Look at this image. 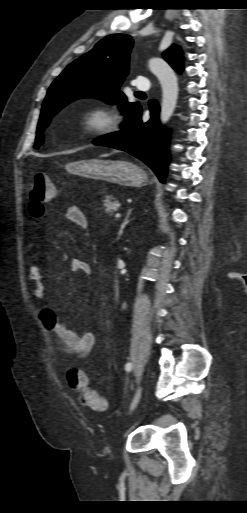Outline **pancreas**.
Segmentation results:
<instances>
[{
  "mask_svg": "<svg viewBox=\"0 0 247 513\" xmlns=\"http://www.w3.org/2000/svg\"><path fill=\"white\" fill-rule=\"evenodd\" d=\"M120 208V203L117 199L112 196H107L104 201V211L109 214V216H114L115 212Z\"/></svg>",
  "mask_w": 247,
  "mask_h": 513,
  "instance_id": "obj_1",
  "label": "pancreas"
}]
</instances>
